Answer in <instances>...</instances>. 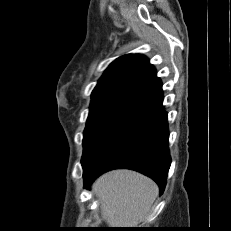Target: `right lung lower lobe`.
Here are the masks:
<instances>
[{"label": "right lung lower lobe", "mask_w": 231, "mask_h": 231, "mask_svg": "<svg viewBox=\"0 0 231 231\" xmlns=\"http://www.w3.org/2000/svg\"><path fill=\"white\" fill-rule=\"evenodd\" d=\"M162 101L122 126L90 157L83 165L84 187L106 171L126 168L152 178L163 193L171 158Z\"/></svg>", "instance_id": "right-lung-lower-lobe-1"}]
</instances>
